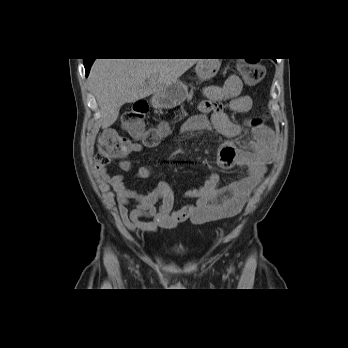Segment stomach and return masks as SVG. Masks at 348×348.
Here are the masks:
<instances>
[{
  "instance_id": "0dacf381",
  "label": "stomach",
  "mask_w": 348,
  "mask_h": 348,
  "mask_svg": "<svg viewBox=\"0 0 348 348\" xmlns=\"http://www.w3.org/2000/svg\"><path fill=\"white\" fill-rule=\"evenodd\" d=\"M220 68L219 59H200L195 67V72L201 81L213 78ZM188 95V86L177 81L152 97V105L155 108L171 109L180 105Z\"/></svg>"
}]
</instances>
